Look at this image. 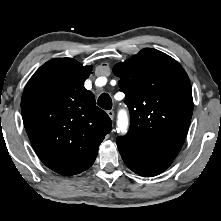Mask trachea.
Segmentation results:
<instances>
[{"mask_svg": "<svg viewBox=\"0 0 221 221\" xmlns=\"http://www.w3.org/2000/svg\"><path fill=\"white\" fill-rule=\"evenodd\" d=\"M97 105L105 110H110L112 108L111 97L107 93L101 94L98 98Z\"/></svg>", "mask_w": 221, "mask_h": 221, "instance_id": "obj_1", "label": "trachea"}]
</instances>
